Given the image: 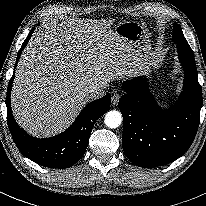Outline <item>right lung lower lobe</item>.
Segmentation results:
<instances>
[{
  "instance_id": "98d812e1",
  "label": "right lung lower lobe",
  "mask_w": 206,
  "mask_h": 206,
  "mask_svg": "<svg viewBox=\"0 0 206 206\" xmlns=\"http://www.w3.org/2000/svg\"><path fill=\"white\" fill-rule=\"evenodd\" d=\"M33 30L34 28L31 29L23 42L15 66L30 40ZM14 76L15 71L8 84L6 106L7 122L16 146L25 157L41 166L49 168L71 167L84 155L96 119L110 109L111 95L106 94L104 97L89 103L64 132L54 137L39 139L30 136L20 128L12 115L10 93Z\"/></svg>"
}]
</instances>
